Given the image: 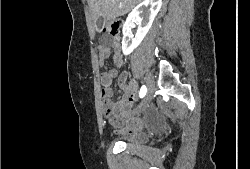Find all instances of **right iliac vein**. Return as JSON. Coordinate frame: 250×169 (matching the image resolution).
Returning a JSON list of instances; mask_svg holds the SVG:
<instances>
[{
	"label": "right iliac vein",
	"instance_id": "63e3f726",
	"mask_svg": "<svg viewBox=\"0 0 250 169\" xmlns=\"http://www.w3.org/2000/svg\"><path fill=\"white\" fill-rule=\"evenodd\" d=\"M145 80H146V84H147V97L145 99V103L142 104V107H144L148 104V102L150 101V99L153 95V91H154V80L149 73L146 74Z\"/></svg>",
	"mask_w": 250,
	"mask_h": 169
}]
</instances>
